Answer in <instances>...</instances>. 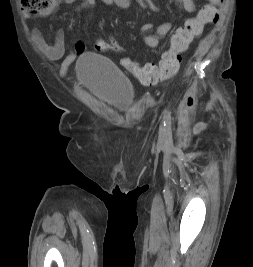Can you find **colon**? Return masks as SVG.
<instances>
[{"mask_svg": "<svg viewBox=\"0 0 253 267\" xmlns=\"http://www.w3.org/2000/svg\"><path fill=\"white\" fill-rule=\"evenodd\" d=\"M224 0H209L203 5L198 14L189 18L179 27L171 38L170 49L163 54L159 64H147L138 66L129 57L121 59V65L145 84H154L158 81L173 77L181 63V53L186 51L194 38L201 35L205 26L217 21L219 16L218 6ZM55 0H20V6L25 11L42 12L49 9ZM98 52L112 51L119 54L126 53V48L113 36L98 38L94 43Z\"/></svg>", "mask_w": 253, "mask_h": 267, "instance_id": "colon-1", "label": "colon"}]
</instances>
